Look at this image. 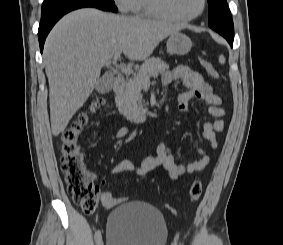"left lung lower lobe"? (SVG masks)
Segmentation results:
<instances>
[{
	"mask_svg": "<svg viewBox=\"0 0 283 245\" xmlns=\"http://www.w3.org/2000/svg\"><path fill=\"white\" fill-rule=\"evenodd\" d=\"M223 37L227 39V41L229 42L230 46L232 47L233 46V39H234V37H230V36H223Z\"/></svg>",
	"mask_w": 283,
	"mask_h": 245,
	"instance_id": "0a47b994",
	"label": "left lung lower lobe"
}]
</instances>
